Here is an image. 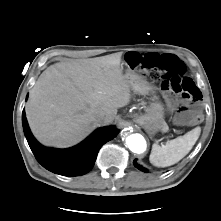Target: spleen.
<instances>
[{"label":"spleen","mask_w":221,"mask_h":221,"mask_svg":"<svg viewBox=\"0 0 221 221\" xmlns=\"http://www.w3.org/2000/svg\"><path fill=\"white\" fill-rule=\"evenodd\" d=\"M201 133V128L196 127L183 136L170 140L165 145H152L149 157L150 163L157 167L174 165L184 158L192 149Z\"/></svg>","instance_id":"obj_1"}]
</instances>
